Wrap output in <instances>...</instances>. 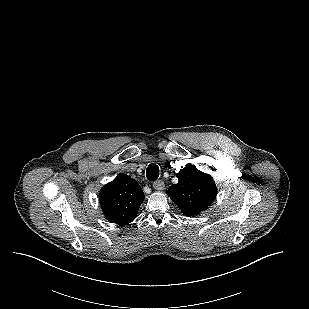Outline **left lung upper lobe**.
I'll return each mask as SVG.
<instances>
[{
    "mask_svg": "<svg viewBox=\"0 0 309 309\" xmlns=\"http://www.w3.org/2000/svg\"><path fill=\"white\" fill-rule=\"evenodd\" d=\"M177 177L178 183L171 185L167 194L184 215H198L215 200L217 189L210 175L192 165H186Z\"/></svg>",
    "mask_w": 309,
    "mask_h": 309,
    "instance_id": "1",
    "label": "left lung upper lobe"
}]
</instances>
